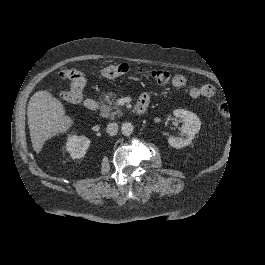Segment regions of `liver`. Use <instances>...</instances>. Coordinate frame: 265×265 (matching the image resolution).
<instances>
[{
    "label": "liver",
    "mask_w": 265,
    "mask_h": 265,
    "mask_svg": "<svg viewBox=\"0 0 265 265\" xmlns=\"http://www.w3.org/2000/svg\"><path fill=\"white\" fill-rule=\"evenodd\" d=\"M32 147L38 154L45 141L58 133H65L73 120L65 115L62 103L48 91L36 92L27 108Z\"/></svg>",
    "instance_id": "6515ba94"
}]
</instances>
